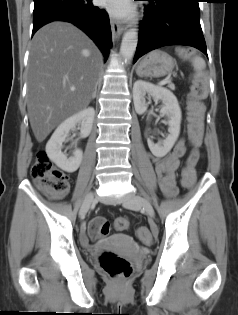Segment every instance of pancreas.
Masks as SVG:
<instances>
[{
  "mask_svg": "<svg viewBox=\"0 0 238 315\" xmlns=\"http://www.w3.org/2000/svg\"><path fill=\"white\" fill-rule=\"evenodd\" d=\"M168 87H169L171 90H174V89H175V86L172 85V84H170Z\"/></svg>",
  "mask_w": 238,
  "mask_h": 315,
  "instance_id": "cf45deb5",
  "label": "pancreas"
}]
</instances>
